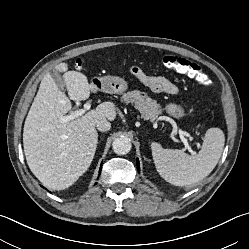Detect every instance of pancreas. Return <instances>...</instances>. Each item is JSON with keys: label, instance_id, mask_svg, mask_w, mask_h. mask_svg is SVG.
I'll list each match as a JSON object with an SVG mask.
<instances>
[{"label": "pancreas", "instance_id": "cf45deb5", "mask_svg": "<svg viewBox=\"0 0 249 249\" xmlns=\"http://www.w3.org/2000/svg\"><path fill=\"white\" fill-rule=\"evenodd\" d=\"M125 103H132L140 111L144 119L153 118L162 113L161 106L147 95H142L140 91H130L122 96Z\"/></svg>", "mask_w": 249, "mask_h": 249}]
</instances>
